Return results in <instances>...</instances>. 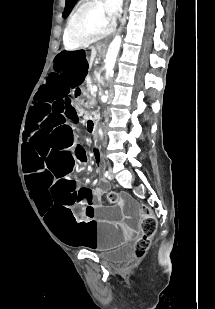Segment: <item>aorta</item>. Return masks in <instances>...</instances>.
Instances as JSON below:
<instances>
[{"instance_id":"762f6f07","label":"aorta","mask_w":215,"mask_h":309,"mask_svg":"<svg viewBox=\"0 0 215 309\" xmlns=\"http://www.w3.org/2000/svg\"><path fill=\"white\" fill-rule=\"evenodd\" d=\"M121 42H122V36H120V34H116V36H114L112 42H110L108 46V50H107V54L105 58V68H106L105 78L106 80H110V76L115 66V60L119 52ZM98 132L100 136H102L103 134L102 128H99Z\"/></svg>"}]
</instances>
